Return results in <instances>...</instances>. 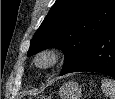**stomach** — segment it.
<instances>
[{"label": "stomach", "mask_w": 115, "mask_h": 99, "mask_svg": "<svg viewBox=\"0 0 115 99\" xmlns=\"http://www.w3.org/2000/svg\"><path fill=\"white\" fill-rule=\"evenodd\" d=\"M81 87L77 82H67L59 89L61 99H80Z\"/></svg>", "instance_id": "obj_1"}]
</instances>
